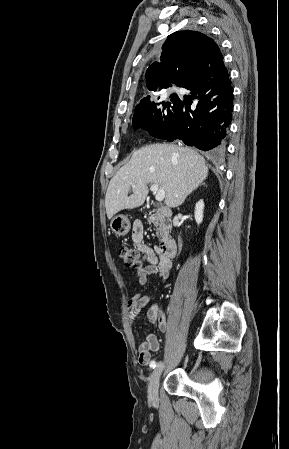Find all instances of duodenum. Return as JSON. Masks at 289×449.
Masks as SVG:
<instances>
[{
	"label": "duodenum",
	"mask_w": 289,
	"mask_h": 449,
	"mask_svg": "<svg viewBox=\"0 0 289 449\" xmlns=\"http://www.w3.org/2000/svg\"><path fill=\"white\" fill-rule=\"evenodd\" d=\"M154 213L156 214H160L162 216H170L171 215V211L168 208L165 207H158L155 208L153 210ZM176 249H177V245H176V241L171 238V237H167L165 238L159 246V251L160 254L165 257V258H172L174 257L175 253H176Z\"/></svg>",
	"instance_id": "410a0bca"
}]
</instances>
